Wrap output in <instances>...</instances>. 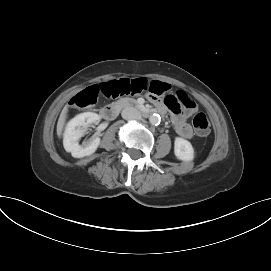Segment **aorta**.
<instances>
[{
	"mask_svg": "<svg viewBox=\"0 0 271 271\" xmlns=\"http://www.w3.org/2000/svg\"><path fill=\"white\" fill-rule=\"evenodd\" d=\"M160 116L158 114H153L149 117V122L152 124V125H158L160 123Z\"/></svg>",
	"mask_w": 271,
	"mask_h": 271,
	"instance_id": "obj_1",
	"label": "aorta"
}]
</instances>
